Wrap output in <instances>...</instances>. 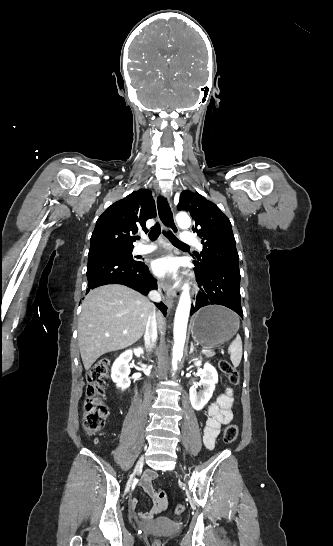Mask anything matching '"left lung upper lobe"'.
I'll list each match as a JSON object with an SVG mask.
<instances>
[{
    "instance_id": "5c2ea615",
    "label": "left lung upper lobe",
    "mask_w": 333,
    "mask_h": 546,
    "mask_svg": "<svg viewBox=\"0 0 333 546\" xmlns=\"http://www.w3.org/2000/svg\"><path fill=\"white\" fill-rule=\"evenodd\" d=\"M177 208L191 214L195 221L194 231L203 244L202 252L194 255L196 269L239 265L231 223L213 202L186 190L181 193Z\"/></svg>"
}]
</instances>
